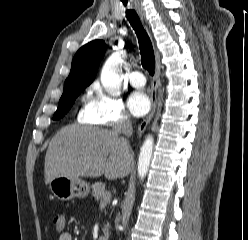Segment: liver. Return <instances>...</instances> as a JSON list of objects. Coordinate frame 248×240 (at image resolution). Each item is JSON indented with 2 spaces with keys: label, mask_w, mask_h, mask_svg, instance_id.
Instances as JSON below:
<instances>
[{
  "label": "liver",
  "mask_w": 248,
  "mask_h": 240,
  "mask_svg": "<svg viewBox=\"0 0 248 240\" xmlns=\"http://www.w3.org/2000/svg\"><path fill=\"white\" fill-rule=\"evenodd\" d=\"M134 155L126 139L114 130L70 125L51 140L45 156V184L58 176L72 179L127 176Z\"/></svg>",
  "instance_id": "6515ba94"
}]
</instances>
